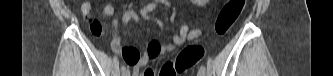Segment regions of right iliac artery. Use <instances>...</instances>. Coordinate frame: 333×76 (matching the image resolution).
<instances>
[{"mask_svg":"<svg viewBox=\"0 0 333 76\" xmlns=\"http://www.w3.org/2000/svg\"><path fill=\"white\" fill-rule=\"evenodd\" d=\"M155 8V4H150V5H148L146 8H144V11H152L153 9ZM121 71H122V73L123 72H125V71H128L127 69H126V66L125 65H122L121 66Z\"/></svg>","mask_w":333,"mask_h":76,"instance_id":"82829eb1","label":"right iliac artery"}]
</instances>
